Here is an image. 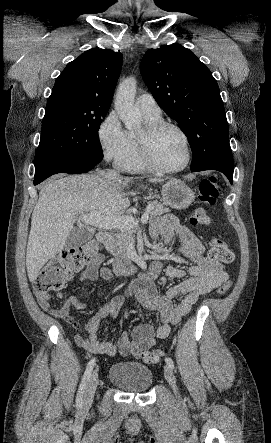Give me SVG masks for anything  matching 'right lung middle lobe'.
Returning <instances> with one entry per match:
<instances>
[{"mask_svg":"<svg viewBox=\"0 0 271 443\" xmlns=\"http://www.w3.org/2000/svg\"><path fill=\"white\" fill-rule=\"evenodd\" d=\"M106 114L72 102L47 104L35 166L63 156L101 160L103 152L98 130Z\"/></svg>","mask_w":271,"mask_h":443,"instance_id":"obj_1","label":"right lung middle lobe"}]
</instances>
